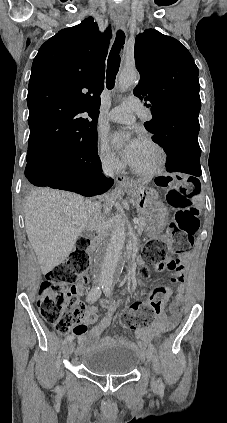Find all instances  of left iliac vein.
<instances>
[{
    "instance_id": "left-iliac-vein-1",
    "label": "left iliac vein",
    "mask_w": 227,
    "mask_h": 423,
    "mask_svg": "<svg viewBox=\"0 0 227 423\" xmlns=\"http://www.w3.org/2000/svg\"><path fill=\"white\" fill-rule=\"evenodd\" d=\"M146 355H147V359L149 361V365H150L151 371H153L152 370V364L154 362L153 350L150 349V348H148L147 349V352H146ZM151 386H152L153 390H157V388H158V383H157V381H156V379H155V377L153 375H152V379H151Z\"/></svg>"
}]
</instances>
